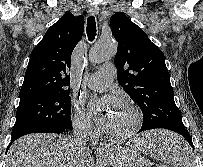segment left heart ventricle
<instances>
[{
    "label": "left heart ventricle",
    "instance_id": "obj_1",
    "mask_svg": "<svg viewBox=\"0 0 203 167\" xmlns=\"http://www.w3.org/2000/svg\"><path fill=\"white\" fill-rule=\"evenodd\" d=\"M132 123V115L124 108L114 114L108 129L114 132H121L130 128Z\"/></svg>",
    "mask_w": 203,
    "mask_h": 167
}]
</instances>
